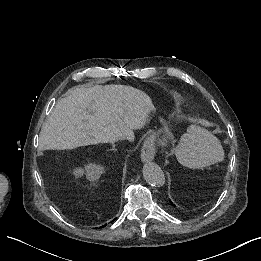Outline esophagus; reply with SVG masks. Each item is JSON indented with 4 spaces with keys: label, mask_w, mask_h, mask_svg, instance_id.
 Returning <instances> with one entry per match:
<instances>
[{
    "label": "esophagus",
    "mask_w": 261,
    "mask_h": 261,
    "mask_svg": "<svg viewBox=\"0 0 261 261\" xmlns=\"http://www.w3.org/2000/svg\"><path fill=\"white\" fill-rule=\"evenodd\" d=\"M155 156V140L153 137H149L145 140L141 150V161L143 163L153 161Z\"/></svg>",
    "instance_id": "esophagus-1"
}]
</instances>
